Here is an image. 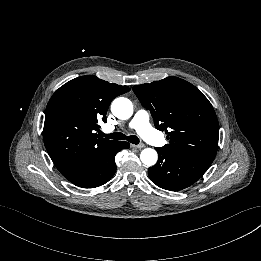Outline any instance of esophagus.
<instances>
[{
	"mask_svg": "<svg viewBox=\"0 0 261 261\" xmlns=\"http://www.w3.org/2000/svg\"><path fill=\"white\" fill-rule=\"evenodd\" d=\"M132 146L135 147V148H139V149H141V148H144V147H145V144L140 143V144L132 145Z\"/></svg>",
	"mask_w": 261,
	"mask_h": 261,
	"instance_id": "34e87169",
	"label": "esophagus"
}]
</instances>
